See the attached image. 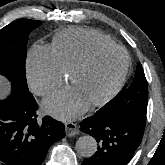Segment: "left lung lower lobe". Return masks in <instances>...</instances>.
<instances>
[{"label":"left lung lower lobe","mask_w":165,"mask_h":165,"mask_svg":"<svg viewBox=\"0 0 165 165\" xmlns=\"http://www.w3.org/2000/svg\"><path fill=\"white\" fill-rule=\"evenodd\" d=\"M146 119L137 117L91 116L80 130L98 142L96 153L82 165H126L141 143Z\"/></svg>","instance_id":"1"}]
</instances>
